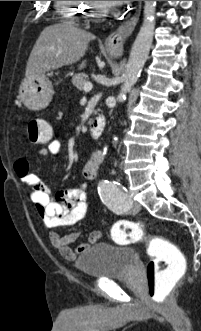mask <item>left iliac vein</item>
Instances as JSON below:
<instances>
[{"mask_svg":"<svg viewBox=\"0 0 201 331\" xmlns=\"http://www.w3.org/2000/svg\"><path fill=\"white\" fill-rule=\"evenodd\" d=\"M140 209H141V205H140L138 202H133V203H132V211H133L134 213L139 212Z\"/></svg>","mask_w":201,"mask_h":331,"instance_id":"obj_1","label":"left iliac vein"}]
</instances>
